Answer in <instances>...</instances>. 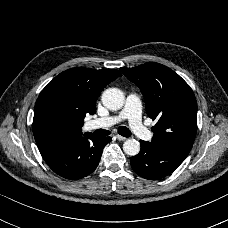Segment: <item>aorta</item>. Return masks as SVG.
<instances>
[{
    "instance_id": "1",
    "label": "aorta",
    "mask_w": 228,
    "mask_h": 228,
    "mask_svg": "<svg viewBox=\"0 0 228 228\" xmlns=\"http://www.w3.org/2000/svg\"><path fill=\"white\" fill-rule=\"evenodd\" d=\"M125 96L118 88H108L102 94V103L109 110H119L123 107ZM123 150L130 156H135L140 151V143L135 139H128L123 144Z\"/></svg>"
}]
</instances>
